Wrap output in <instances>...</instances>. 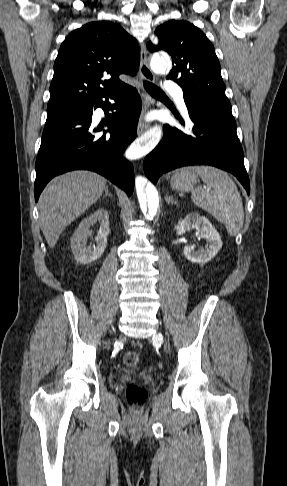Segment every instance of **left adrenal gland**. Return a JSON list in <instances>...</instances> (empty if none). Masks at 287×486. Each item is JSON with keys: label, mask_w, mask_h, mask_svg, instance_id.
<instances>
[{"label": "left adrenal gland", "mask_w": 287, "mask_h": 486, "mask_svg": "<svg viewBox=\"0 0 287 486\" xmlns=\"http://www.w3.org/2000/svg\"><path fill=\"white\" fill-rule=\"evenodd\" d=\"M165 201L166 203L169 205V204H175V205H179L178 201L176 199H174L173 196H169L168 193L165 195Z\"/></svg>", "instance_id": "left-adrenal-gland-1"}]
</instances>
